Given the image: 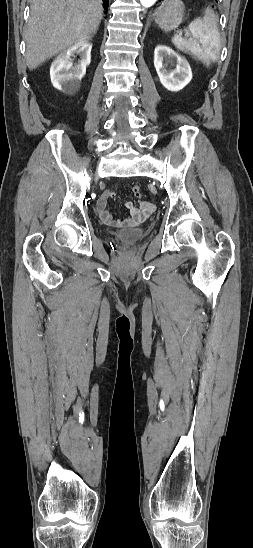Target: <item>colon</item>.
Returning <instances> with one entry per match:
<instances>
[{
  "mask_svg": "<svg viewBox=\"0 0 253 548\" xmlns=\"http://www.w3.org/2000/svg\"><path fill=\"white\" fill-rule=\"evenodd\" d=\"M132 192H133L134 196L137 197V198L141 197V195H142L141 189L137 185L133 186ZM127 250H131V247L128 246Z\"/></svg>",
  "mask_w": 253,
  "mask_h": 548,
  "instance_id": "obj_1",
  "label": "colon"
}]
</instances>
